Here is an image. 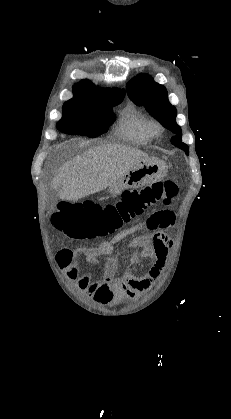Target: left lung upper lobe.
Here are the masks:
<instances>
[{
	"mask_svg": "<svg viewBox=\"0 0 231 419\" xmlns=\"http://www.w3.org/2000/svg\"><path fill=\"white\" fill-rule=\"evenodd\" d=\"M127 93L135 104L145 106L165 128L176 134L171 140L172 144L188 155V146L180 140L181 128L175 120L176 108L170 104L166 88L148 75H139L127 84Z\"/></svg>",
	"mask_w": 231,
	"mask_h": 419,
	"instance_id": "5c2ea615",
	"label": "left lung upper lobe"
}]
</instances>
